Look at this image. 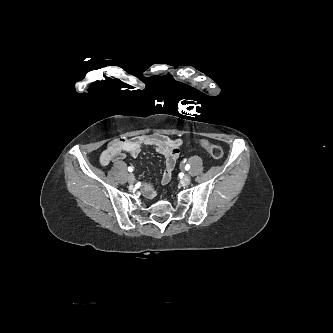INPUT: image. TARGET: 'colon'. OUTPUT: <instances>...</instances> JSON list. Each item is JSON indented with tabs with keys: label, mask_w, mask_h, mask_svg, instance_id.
Wrapping results in <instances>:
<instances>
[{
	"label": "colon",
	"mask_w": 333,
	"mask_h": 333,
	"mask_svg": "<svg viewBox=\"0 0 333 333\" xmlns=\"http://www.w3.org/2000/svg\"><path fill=\"white\" fill-rule=\"evenodd\" d=\"M201 147H203L211 157L214 159H220L223 156V150L219 145L211 144L206 140L199 141Z\"/></svg>",
	"instance_id": "obj_1"
}]
</instances>
